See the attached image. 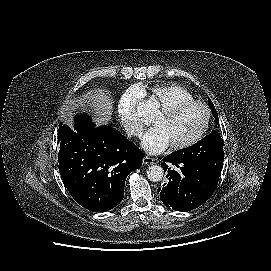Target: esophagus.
Masks as SVG:
<instances>
[{"label":"esophagus","mask_w":271,"mask_h":271,"mask_svg":"<svg viewBox=\"0 0 271 271\" xmlns=\"http://www.w3.org/2000/svg\"><path fill=\"white\" fill-rule=\"evenodd\" d=\"M157 163H158V160L155 158H151L149 156H145L143 158V164H145V165H153V164H157Z\"/></svg>","instance_id":"34e87169"}]
</instances>
